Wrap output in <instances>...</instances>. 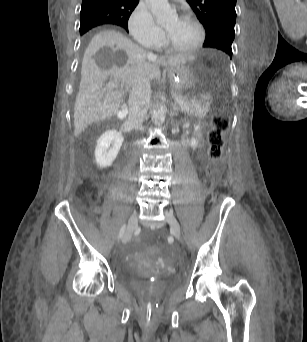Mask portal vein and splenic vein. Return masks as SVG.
<instances>
[{
	"instance_id": "18ae733b",
	"label": "portal vein and splenic vein",
	"mask_w": 307,
	"mask_h": 342,
	"mask_svg": "<svg viewBox=\"0 0 307 342\" xmlns=\"http://www.w3.org/2000/svg\"><path fill=\"white\" fill-rule=\"evenodd\" d=\"M124 84H120V82H108L107 84V88H123ZM190 106L189 105H185V104H182L181 105V108L182 109H187L189 108Z\"/></svg>"
}]
</instances>
